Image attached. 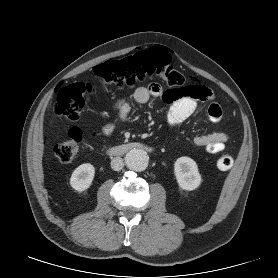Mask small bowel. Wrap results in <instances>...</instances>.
<instances>
[{"label":"small bowel","mask_w":278,"mask_h":278,"mask_svg":"<svg viewBox=\"0 0 278 278\" xmlns=\"http://www.w3.org/2000/svg\"><path fill=\"white\" fill-rule=\"evenodd\" d=\"M200 87L202 93L198 97L190 95H181L175 98L171 97V91H163L158 83H151L147 87H138L128 97L119 99L114 109L117 111L119 118L126 121L131 110V102L138 104L147 103L150 98L162 97L165 101L169 102L170 109L168 112V124L173 127H179L186 121L196 110L198 102L209 101L208 117L212 122H219L223 117L221 106L214 101V95L210 89L203 85ZM113 131L111 123L103 127V134L109 136ZM230 136L226 132H214L211 134L200 135L193 138V144L198 147L204 148L208 153L216 154L225 148V144Z\"/></svg>","instance_id":"c3829d8e"}]
</instances>
